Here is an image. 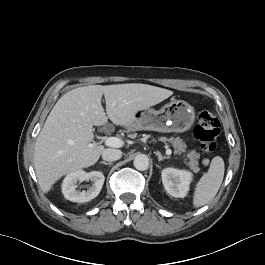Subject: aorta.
I'll return each mask as SVG.
<instances>
[{"label": "aorta", "mask_w": 265, "mask_h": 265, "mask_svg": "<svg viewBox=\"0 0 265 265\" xmlns=\"http://www.w3.org/2000/svg\"><path fill=\"white\" fill-rule=\"evenodd\" d=\"M134 167L139 171H145L148 169L149 166V158L145 154H139L135 157Z\"/></svg>", "instance_id": "aorta-1"}]
</instances>
